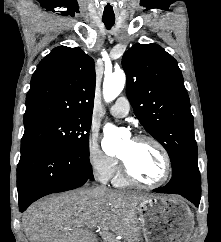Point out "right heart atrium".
I'll return each mask as SVG.
<instances>
[{"instance_id": "right-heart-atrium-1", "label": "right heart atrium", "mask_w": 221, "mask_h": 242, "mask_svg": "<svg viewBox=\"0 0 221 242\" xmlns=\"http://www.w3.org/2000/svg\"><path fill=\"white\" fill-rule=\"evenodd\" d=\"M87 161L91 170L103 181L111 179L117 169L118 160L115 156L103 151L98 136L93 132L87 140Z\"/></svg>"}]
</instances>
